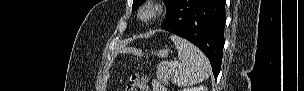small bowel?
Wrapping results in <instances>:
<instances>
[{"label": "small bowel", "mask_w": 304, "mask_h": 91, "mask_svg": "<svg viewBox=\"0 0 304 91\" xmlns=\"http://www.w3.org/2000/svg\"><path fill=\"white\" fill-rule=\"evenodd\" d=\"M156 90H158V91H163L164 89H163L162 87H160V86L157 85Z\"/></svg>", "instance_id": "obj_1"}]
</instances>
